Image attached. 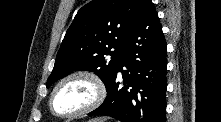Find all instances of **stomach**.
<instances>
[{
	"label": "stomach",
	"instance_id": "0dacf381",
	"mask_svg": "<svg viewBox=\"0 0 221 122\" xmlns=\"http://www.w3.org/2000/svg\"><path fill=\"white\" fill-rule=\"evenodd\" d=\"M107 119L106 118H95L92 120H89L88 122H106Z\"/></svg>",
	"mask_w": 221,
	"mask_h": 122
}]
</instances>
